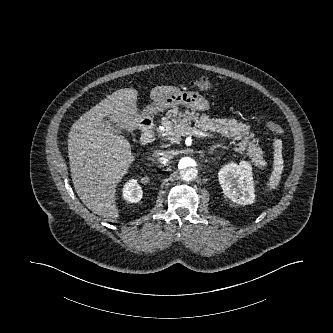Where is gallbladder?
<instances>
[{"label": "gallbladder", "mask_w": 333, "mask_h": 333, "mask_svg": "<svg viewBox=\"0 0 333 333\" xmlns=\"http://www.w3.org/2000/svg\"><path fill=\"white\" fill-rule=\"evenodd\" d=\"M109 123H110L111 127L114 128V131H115L116 133H120L121 129L119 128V126H118L116 123H114V122H112V121H110Z\"/></svg>", "instance_id": "1"}]
</instances>
